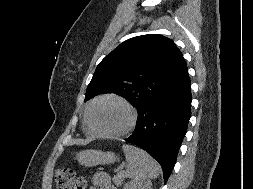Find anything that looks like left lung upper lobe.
<instances>
[{"label":"left lung upper lobe","instance_id":"5c2ea615","mask_svg":"<svg viewBox=\"0 0 253 189\" xmlns=\"http://www.w3.org/2000/svg\"><path fill=\"white\" fill-rule=\"evenodd\" d=\"M186 65L174 42L159 34L126 40L97 66L85 101L103 93L126 98L139 111Z\"/></svg>","mask_w":253,"mask_h":189}]
</instances>
